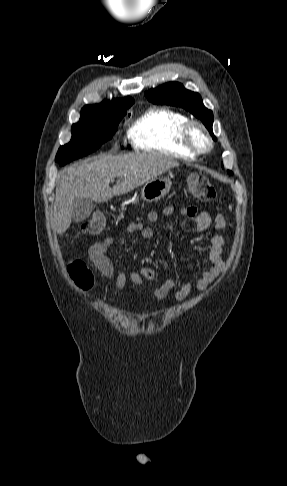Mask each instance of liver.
Segmentation results:
<instances>
[{
  "label": "liver",
  "mask_w": 287,
  "mask_h": 486,
  "mask_svg": "<svg viewBox=\"0 0 287 486\" xmlns=\"http://www.w3.org/2000/svg\"><path fill=\"white\" fill-rule=\"evenodd\" d=\"M179 162L169 156L152 153L99 155L90 161L72 165L58 174L52 228L63 234L72 222V204L77 197L101 203L132 191ZM117 183L111 188L110 182Z\"/></svg>",
  "instance_id": "liver-1"
}]
</instances>
